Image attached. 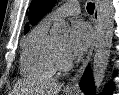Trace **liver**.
I'll use <instances>...</instances> for the list:
<instances>
[{
    "mask_svg": "<svg viewBox=\"0 0 119 95\" xmlns=\"http://www.w3.org/2000/svg\"><path fill=\"white\" fill-rule=\"evenodd\" d=\"M61 88L62 83L56 79L39 80L30 85L23 82L16 86L17 90H26L31 95H58Z\"/></svg>",
    "mask_w": 119,
    "mask_h": 95,
    "instance_id": "6515ba94",
    "label": "liver"
}]
</instances>
